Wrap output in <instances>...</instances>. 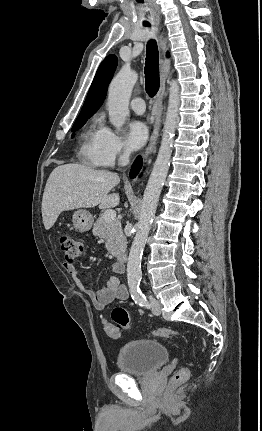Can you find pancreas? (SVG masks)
Masks as SVG:
<instances>
[{
    "mask_svg": "<svg viewBox=\"0 0 262 431\" xmlns=\"http://www.w3.org/2000/svg\"><path fill=\"white\" fill-rule=\"evenodd\" d=\"M93 235L106 240L105 247L113 255L126 249V238L123 235L121 223L118 219L107 222L101 215L94 223Z\"/></svg>",
    "mask_w": 262,
    "mask_h": 431,
    "instance_id": "pancreas-1",
    "label": "pancreas"
}]
</instances>
